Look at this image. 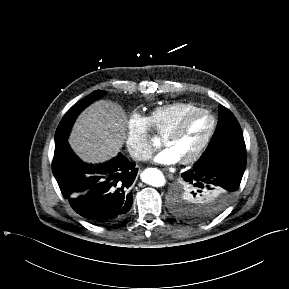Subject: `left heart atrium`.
<instances>
[{"label": "left heart atrium", "mask_w": 289, "mask_h": 289, "mask_svg": "<svg viewBox=\"0 0 289 289\" xmlns=\"http://www.w3.org/2000/svg\"><path fill=\"white\" fill-rule=\"evenodd\" d=\"M156 163L162 165H170L179 161L178 156L168 147L155 155L153 159Z\"/></svg>", "instance_id": "left-heart-atrium-1"}]
</instances>
